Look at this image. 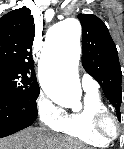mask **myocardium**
<instances>
[{
    "label": "myocardium",
    "instance_id": "myocardium-1",
    "mask_svg": "<svg viewBox=\"0 0 124 149\" xmlns=\"http://www.w3.org/2000/svg\"><path fill=\"white\" fill-rule=\"evenodd\" d=\"M112 126V128H110ZM94 128L99 136L113 141L121 134V125L117 116L109 110L98 112L94 117Z\"/></svg>",
    "mask_w": 124,
    "mask_h": 149
}]
</instances>
